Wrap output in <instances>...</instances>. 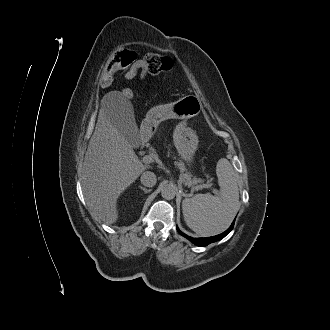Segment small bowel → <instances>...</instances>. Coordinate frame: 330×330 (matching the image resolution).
Returning <instances> with one entry per match:
<instances>
[{
  "mask_svg": "<svg viewBox=\"0 0 330 330\" xmlns=\"http://www.w3.org/2000/svg\"><path fill=\"white\" fill-rule=\"evenodd\" d=\"M138 74L141 79H144L147 75V68L142 59H136L133 64L124 71V77L127 80L135 78ZM103 84L107 85L108 83L103 82Z\"/></svg>",
  "mask_w": 330,
  "mask_h": 330,
  "instance_id": "c3829d8e",
  "label": "small bowel"
}]
</instances>
